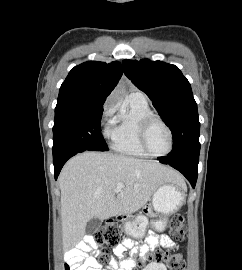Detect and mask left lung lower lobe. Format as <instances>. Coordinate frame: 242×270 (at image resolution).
Wrapping results in <instances>:
<instances>
[{
	"instance_id": "obj_1",
	"label": "left lung lower lobe",
	"mask_w": 242,
	"mask_h": 270,
	"mask_svg": "<svg viewBox=\"0 0 242 270\" xmlns=\"http://www.w3.org/2000/svg\"><path fill=\"white\" fill-rule=\"evenodd\" d=\"M161 163L169 164L173 168L180 171L191 183L192 187H195L197 175H198V162L199 153L189 155L180 159L158 158Z\"/></svg>"
}]
</instances>
